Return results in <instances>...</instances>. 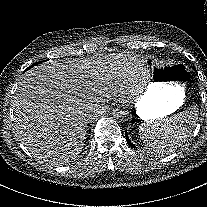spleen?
<instances>
[{"label": "spleen", "mask_w": 207, "mask_h": 207, "mask_svg": "<svg viewBox=\"0 0 207 207\" xmlns=\"http://www.w3.org/2000/svg\"><path fill=\"white\" fill-rule=\"evenodd\" d=\"M201 111L196 106L166 119L145 122L137 132V143L155 155L163 156L182 146L199 125Z\"/></svg>", "instance_id": "3e777b00"}]
</instances>
